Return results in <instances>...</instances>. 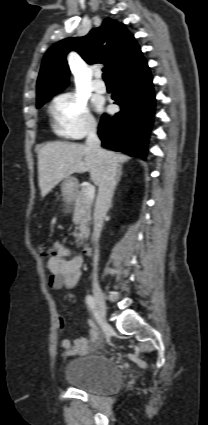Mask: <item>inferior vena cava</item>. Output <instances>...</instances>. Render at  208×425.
<instances>
[{
	"label": "inferior vena cava",
	"mask_w": 208,
	"mask_h": 425,
	"mask_svg": "<svg viewBox=\"0 0 208 425\" xmlns=\"http://www.w3.org/2000/svg\"><path fill=\"white\" fill-rule=\"evenodd\" d=\"M87 147L102 157L104 161V169L99 183V191L96 199L93 219V240L95 242V253L93 258L94 274L93 280L97 282V265L99 258L98 240L100 238L104 217L111 207V200L116 186V176L118 162L114 155L108 151L101 149L100 139L97 135L95 126H89L87 129Z\"/></svg>",
	"instance_id": "1"
}]
</instances>
